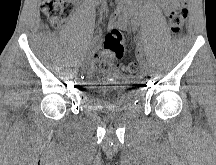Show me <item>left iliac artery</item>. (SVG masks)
Here are the masks:
<instances>
[{
	"instance_id": "1",
	"label": "left iliac artery",
	"mask_w": 216,
	"mask_h": 165,
	"mask_svg": "<svg viewBox=\"0 0 216 165\" xmlns=\"http://www.w3.org/2000/svg\"><path fill=\"white\" fill-rule=\"evenodd\" d=\"M137 52L139 53V55H143L142 46L139 42L137 43Z\"/></svg>"
}]
</instances>
